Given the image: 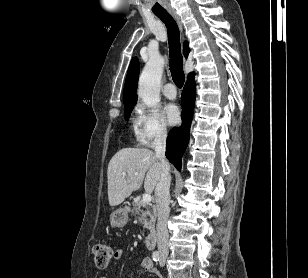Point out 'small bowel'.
Returning <instances> with one entry per match:
<instances>
[{
    "label": "small bowel",
    "mask_w": 308,
    "mask_h": 278,
    "mask_svg": "<svg viewBox=\"0 0 308 278\" xmlns=\"http://www.w3.org/2000/svg\"><path fill=\"white\" fill-rule=\"evenodd\" d=\"M123 255H124L123 248H117L113 252V258L115 261L121 259ZM140 267L146 272L151 273L155 278H161L159 271L154 267L153 262L150 258L148 257L144 258L140 263ZM101 278H107V277H101Z\"/></svg>",
    "instance_id": "small-bowel-1"
}]
</instances>
